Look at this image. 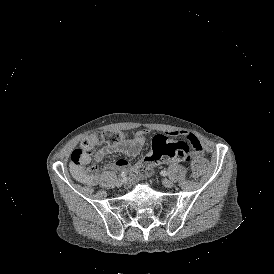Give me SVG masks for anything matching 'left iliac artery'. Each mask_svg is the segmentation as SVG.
<instances>
[{
	"label": "left iliac artery",
	"instance_id": "44dca946",
	"mask_svg": "<svg viewBox=\"0 0 274 274\" xmlns=\"http://www.w3.org/2000/svg\"><path fill=\"white\" fill-rule=\"evenodd\" d=\"M160 174H161L162 176H167V175H168V173H167L166 170H162Z\"/></svg>",
	"mask_w": 274,
	"mask_h": 274
}]
</instances>
